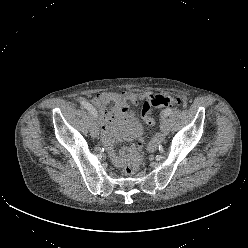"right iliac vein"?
Instances as JSON below:
<instances>
[{
	"instance_id": "63e3f726",
	"label": "right iliac vein",
	"mask_w": 248,
	"mask_h": 248,
	"mask_svg": "<svg viewBox=\"0 0 248 248\" xmlns=\"http://www.w3.org/2000/svg\"><path fill=\"white\" fill-rule=\"evenodd\" d=\"M90 134L93 138H96L99 135L98 122L94 115L90 124Z\"/></svg>"
}]
</instances>
